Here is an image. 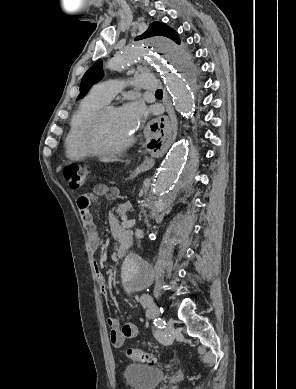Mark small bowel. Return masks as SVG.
<instances>
[{
	"label": "small bowel",
	"instance_id": "small-bowel-1",
	"mask_svg": "<svg viewBox=\"0 0 296 389\" xmlns=\"http://www.w3.org/2000/svg\"><path fill=\"white\" fill-rule=\"evenodd\" d=\"M118 195L117 188H108L104 185L96 186L90 193L81 195L77 200V206L79 209L80 217L82 223L87 231L90 248L92 251H97L100 247V237L93 219V216L90 212L91 205L99 198L106 197L108 199H114ZM110 230L113 236L118 240L123 237L130 235L128 231L122 228L116 217L110 215L109 217ZM96 276L100 283L101 294L107 298L108 297V287L105 282L104 276L100 271L99 267L96 265ZM139 303L146 311V316L150 317L155 313V304L153 303L152 298L143 294L139 298ZM107 325L109 328V339L111 344L116 348H121L124 346L127 340L133 339L138 334V327L135 323L128 322L121 326L120 321L115 317H108Z\"/></svg>",
	"mask_w": 296,
	"mask_h": 389
}]
</instances>
